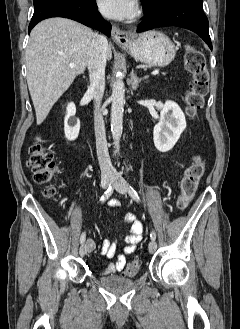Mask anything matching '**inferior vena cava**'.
Masks as SVG:
<instances>
[{
  "instance_id": "inferior-vena-cava-1",
  "label": "inferior vena cava",
  "mask_w": 240,
  "mask_h": 329,
  "mask_svg": "<svg viewBox=\"0 0 240 329\" xmlns=\"http://www.w3.org/2000/svg\"><path fill=\"white\" fill-rule=\"evenodd\" d=\"M108 42L105 36L94 34L88 55V70L90 78L89 92L94 97V127L96 149L102 175H113L116 170L112 166L108 143L106 140L104 119L100 110L105 89V66L107 60Z\"/></svg>"
}]
</instances>
